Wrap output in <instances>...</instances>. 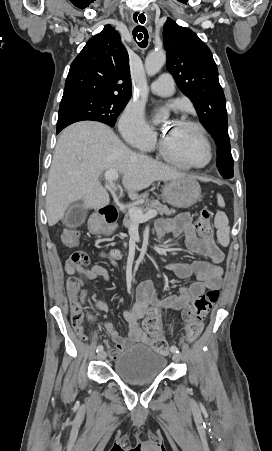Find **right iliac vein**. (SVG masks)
Here are the masks:
<instances>
[{
  "label": "right iliac vein",
  "mask_w": 272,
  "mask_h": 451,
  "mask_svg": "<svg viewBox=\"0 0 272 451\" xmlns=\"http://www.w3.org/2000/svg\"><path fill=\"white\" fill-rule=\"evenodd\" d=\"M105 358H106V352L105 351L99 352L98 359L99 360H105Z\"/></svg>",
  "instance_id": "right-iliac-vein-1"
}]
</instances>
